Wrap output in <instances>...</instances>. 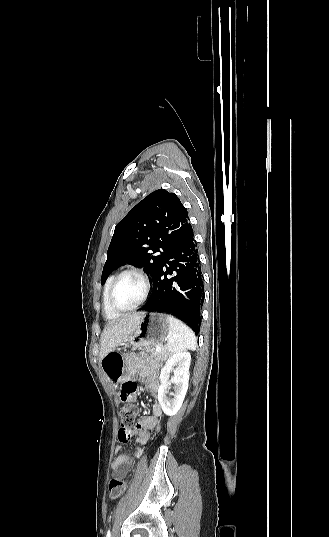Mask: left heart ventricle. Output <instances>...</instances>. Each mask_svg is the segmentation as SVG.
<instances>
[{
  "label": "left heart ventricle",
  "instance_id": "left-heart-ventricle-1",
  "mask_svg": "<svg viewBox=\"0 0 329 537\" xmlns=\"http://www.w3.org/2000/svg\"><path fill=\"white\" fill-rule=\"evenodd\" d=\"M144 292V285L136 275H126L118 283L113 300L117 307L127 309L135 305Z\"/></svg>",
  "mask_w": 329,
  "mask_h": 537
}]
</instances>
